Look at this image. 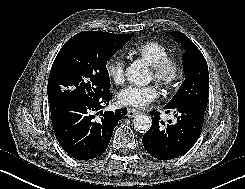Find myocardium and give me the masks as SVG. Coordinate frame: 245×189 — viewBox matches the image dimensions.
Instances as JSON below:
<instances>
[{
    "label": "myocardium",
    "mask_w": 245,
    "mask_h": 189,
    "mask_svg": "<svg viewBox=\"0 0 245 189\" xmlns=\"http://www.w3.org/2000/svg\"><path fill=\"white\" fill-rule=\"evenodd\" d=\"M182 71L183 67L181 62L177 58L170 56L151 67L153 79L164 89L175 85L180 79Z\"/></svg>",
    "instance_id": "obj_1"
}]
</instances>
